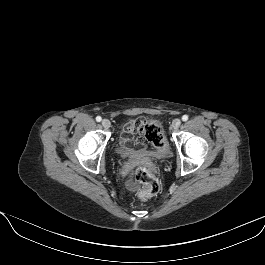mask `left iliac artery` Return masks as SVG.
<instances>
[{
	"instance_id": "left-iliac-artery-1",
	"label": "left iliac artery",
	"mask_w": 265,
	"mask_h": 265,
	"mask_svg": "<svg viewBox=\"0 0 265 265\" xmlns=\"http://www.w3.org/2000/svg\"><path fill=\"white\" fill-rule=\"evenodd\" d=\"M182 120H183V121H187V120H188V115H183V116H182Z\"/></svg>"
}]
</instances>
